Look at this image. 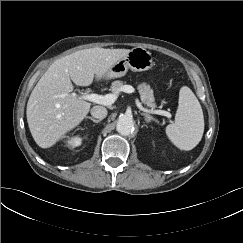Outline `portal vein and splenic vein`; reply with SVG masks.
<instances>
[{
  "label": "portal vein and splenic vein",
  "instance_id": "18ae733b",
  "mask_svg": "<svg viewBox=\"0 0 243 243\" xmlns=\"http://www.w3.org/2000/svg\"><path fill=\"white\" fill-rule=\"evenodd\" d=\"M120 91L125 92V93H134L135 89L131 85H123L120 88ZM72 95L77 97L76 93H72ZM78 97L82 100H87V101L101 104V105H111L117 100L118 92L106 94V95H98L95 93H89V94L80 95ZM135 103L141 111L148 112L151 114L163 115V116H166L167 118H171V114L165 110H153V109L150 110V109L144 108L138 98H136Z\"/></svg>",
  "mask_w": 243,
  "mask_h": 243
}]
</instances>
